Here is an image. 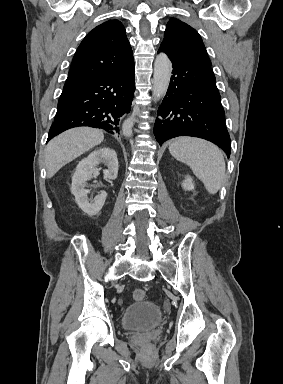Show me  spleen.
<instances>
[{"label":"spleen","instance_id":"obj_1","mask_svg":"<svg viewBox=\"0 0 283 384\" xmlns=\"http://www.w3.org/2000/svg\"><path fill=\"white\" fill-rule=\"evenodd\" d=\"M169 152L173 158L190 166L209 194H217L225 176V160L220 148L199 138H176Z\"/></svg>","mask_w":283,"mask_h":384}]
</instances>
